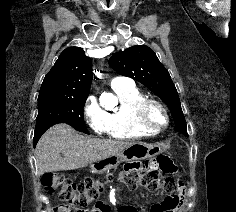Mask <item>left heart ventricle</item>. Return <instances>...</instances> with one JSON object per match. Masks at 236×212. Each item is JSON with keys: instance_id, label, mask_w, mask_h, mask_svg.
<instances>
[{"instance_id": "obj_1", "label": "left heart ventricle", "mask_w": 236, "mask_h": 212, "mask_svg": "<svg viewBox=\"0 0 236 212\" xmlns=\"http://www.w3.org/2000/svg\"><path fill=\"white\" fill-rule=\"evenodd\" d=\"M151 118L153 122L157 125H162L164 123V116L158 109H153L151 111Z\"/></svg>"}]
</instances>
